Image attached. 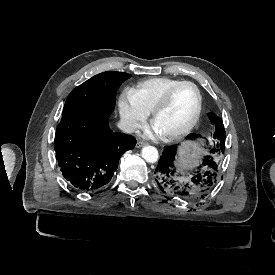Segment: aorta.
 I'll return each instance as SVG.
<instances>
[{
  "label": "aorta",
  "mask_w": 275,
  "mask_h": 275,
  "mask_svg": "<svg viewBox=\"0 0 275 275\" xmlns=\"http://www.w3.org/2000/svg\"><path fill=\"white\" fill-rule=\"evenodd\" d=\"M142 157L148 163H156L159 159L158 150L153 146H146L142 149Z\"/></svg>",
  "instance_id": "762f6f07"
}]
</instances>
